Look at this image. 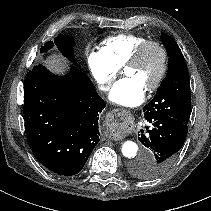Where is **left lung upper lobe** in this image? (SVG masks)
Returning a JSON list of instances; mask_svg holds the SVG:
<instances>
[{
	"mask_svg": "<svg viewBox=\"0 0 211 211\" xmlns=\"http://www.w3.org/2000/svg\"><path fill=\"white\" fill-rule=\"evenodd\" d=\"M161 41L169 57L168 71L154 98L143 108L144 117L147 119L169 116L187 125L191 113V92L187 65L174 38L162 32ZM131 170L139 176L134 168Z\"/></svg>",
	"mask_w": 211,
	"mask_h": 211,
	"instance_id": "5c2ea615",
	"label": "left lung upper lobe"
}]
</instances>
